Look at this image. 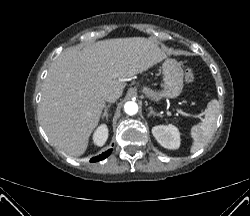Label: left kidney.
Returning a JSON list of instances; mask_svg holds the SVG:
<instances>
[{"instance_id": "1", "label": "left kidney", "mask_w": 250, "mask_h": 216, "mask_svg": "<svg viewBox=\"0 0 250 216\" xmlns=\"http://www.w3.org/2000/svg\"><path fill=\"white\" fill-rule=\"evenodd\" d=\"M152 134L164 148L178 149L180 146V133L173 125L154 126Z\"/></svg>"}]
</instances>
